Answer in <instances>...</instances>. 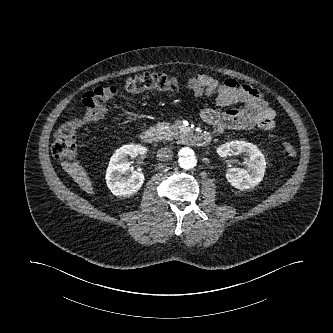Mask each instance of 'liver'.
Returning <instances> with one entry per match:
<instances>
[{"label": "liver", "mask_w": 333, "mask_h": 333, "mask_svg": "<svg viewBox=\"0 0 333 333\" xmlns=\"http://www.w3.org/2000/svg\"><path fill=\"white\" fill-rule=\"evenodd\" d=\"M62 166L71 175L74 181L88 194H93V187L85 169L76 163H68L64 161Z\"/></svg>", "instance_id": "liver-1"}]
</instances>
